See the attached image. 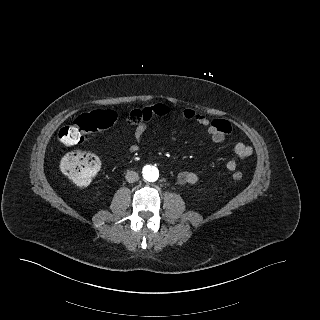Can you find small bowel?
I'll return each mask as SVG.
<instances>
[{
	"mask_svg": "<svg viewBox=\"0 0 320 320\" xmlns=\"http://www.w3.org/2000/svg\"><path fill=\"white\" fill-rule=\"evenodd\" d=\"M176 113L174 107L168 104H155L152 106L134 109L127 118V125L134 126L133 142L128 145V150L135 153L139 150L143 136L148 129L149 122L154 117H166ZM181 115L184 119L194 121L204 126L211 140L215 143H222L226 136L231 132V125L225 120H210L203 114L196 112L193 109L186 108L182 110ZM236 158L227 162L226 167L233 172L237 169L239 163L246 160L252 154V148L242 142H238L234 146ZM199 177L192 171H181L178 174V181L182 185H194L198 182Z\"/></svg>",
	"mask_w": 320,
	"mask_h": 320,
	"instance_id": "small-bowel-1",
	"label": "small bowel"
}]
</instances>
